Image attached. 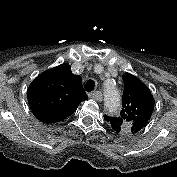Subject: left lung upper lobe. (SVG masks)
Wrapping results in <instances>:
<instances>
[{"mask_svg":"<svg viewBox=\"0 0 177 177\" xmlns=\"http://www.w3.org/2000/svg\"><path fill=\"white\" fill-rule=\"evenodd\" d=\"M123 79L124 92L120 116L109 117L105 115L104 119L117 133L136 134L150 120L154 110V98L149 88L135 76L126 73Z\"/></svg>","mask_w":177,"mask_h":177,"instance_id":"1","label":"left lung upper lobe"}]
</instances>
